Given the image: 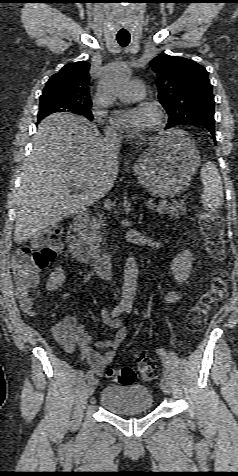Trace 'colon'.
<instances>
[{
  "mask_svg": "<svg viewBox=\"0 0 238 476\" xmlns=\"http://www.w3.org/2000/svg\"><path fill=\"white\" fill-rule=\"evenodd\" d=\"M200 228L209 253L216 259L224 258V224L217 214L203 212L199 218ZM60 231L51 227L39 235L30 246L16 250L12 257L16 291L21 299L22 308L31 311L29 293L39 285V273L57 256L62 245ZM227 288V273L218 268L214 270L210 287L199 297L187 315V324L192 331L203 327L211 309L224 297ZM135 361L145 380L156 377L157 369L144 353H138ZM107 377L120 384H132L136 379L135 371L130 367L108 369Z\"/></svg>",
  "mask_w": 238,
  "mask_h": 476,
  "instance_id": "5ec220e1",
  "label": "colon"
}]
</instances>
